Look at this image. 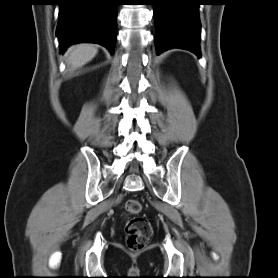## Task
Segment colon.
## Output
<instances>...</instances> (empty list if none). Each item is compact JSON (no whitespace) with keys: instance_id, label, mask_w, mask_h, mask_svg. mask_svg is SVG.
<instances>
[{"instance_id":"obj_1","label":"colon","mask_w":278,"mask_h":278,"mask_svg":"<svg viewBox=\"0 0 278 278\" xmlns=\"http://www.w3.org/2000/svg\"><path fill=\"white\" fill-rule=\"evenodd\" d=\"M142 205L136 199H129L125 204L128 215L125 223L127 233V243L132 250H140L150 241L152 227L150 222L141 216H137L141 211Z\"/></svg>"}]
</instances>
